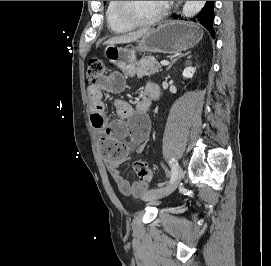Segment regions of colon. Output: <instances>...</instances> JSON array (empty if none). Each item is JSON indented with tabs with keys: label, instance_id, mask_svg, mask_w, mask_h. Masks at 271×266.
Listing matches in <instances>:
<instances>
[{
	"label": "colon",
	"instance_id": "obj_1",
	"mask_svg": "<svg viewBox=\"0 0 271 266\" xmlns=\"http://www.w3.org/2000/svg\"><path fill=\"white\" fill-rule=\"evenodd\" d=\"M105 71L104 62L94 57L90 59L87 69V77L89 80L96 79L103 75ZM133 171L141 182H149L152 179V171L144 161H136L132 165Z\"/></svg>",
	"mask_w": 271,
	"mask_h": 266
}]
</instances>
